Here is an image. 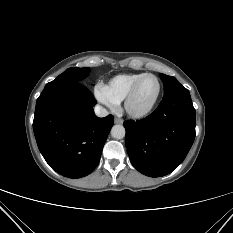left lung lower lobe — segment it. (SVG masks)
<instances>
[{
	"label": "left lung lower lobe",
	"instance_id": "1",
	"mask_svg": "<svg viewBox=\"0 0 233 233\" xmlns=\"http://www.w3.org/2000/svg\"><path fill=\"white\" fill-rule=\"evenodd\" d=\"M195 109L189 91L166 97L157 109L139 121H125V143L132 165L149 177L175 170L195 138Z\"/></svg>",
	"mask_w": 233,
	"mask_h": 233
}]
</instances>
